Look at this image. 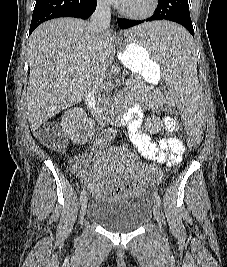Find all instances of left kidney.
Returning <instances> with one entry per match:
<instances>
[{
  "instance_id": "left-kidney-1",
  "label": "left kidney",
  "mask_w": 227,
  "mask_h": 267,
  "mask_svg": "<svg viewBox=\"0 0 227 267\" xmlns=\"http://www.w3.org/2000/svg\"><path fill=\"white\" fill-rule=\"evenodd\" d=\"M161 126L162 122L159 118L152 116L148 119V127L150 128L151 132H158Z\"/></svg>"
}]
</instances>
